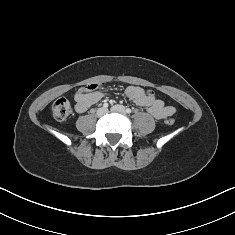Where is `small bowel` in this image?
Here are the masks:
<instances>
[{
	"label": "small bowel",
	"mask_w": 235,
	"mask_h": 235,
	"mask_svg": "<svg viewBox=\"0 0 235 235\" xmlns=\"http://www.w3.org/2000/svg\"><path fill=\"white\" fill-rule=\"evenodd\" d=\"M105 93L103 92H77L74 96L75 110L78 113L85 112L89 107L99 102ZM126 96L136 105L147 108L148 112L156 119H166L175 113V108L166 105L162 100L148 96L139 87L129 86L126 89Z\"/></svg>",
	"instance_id": "1"
}]
</instances>
